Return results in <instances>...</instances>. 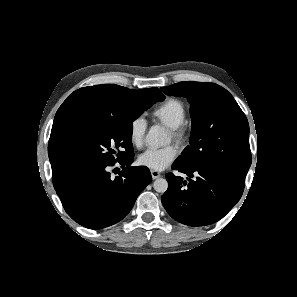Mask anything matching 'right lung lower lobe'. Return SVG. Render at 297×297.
<instances>
[{
    "instance_id": "right-lung-lower-lobe-1",
    "label": "right lung lower lobe",
    "mask_w": 297,
    "mask_h": 297,
    "mask_svg": "<svg viewBox=\"0 0 297 297\" xmlns=\"http://www.w3.org/2000/svg\"><path fill=\"white\" fill-rule=\"evenodd\" d=\"M116 162L122 171L114 178L110 170ZM132 163L133 155L110 163L87 164L53 181L68 215L89 229L105 228L122 220L152 179L147 167H132Z\"/></svg>"
}]
</instances>
